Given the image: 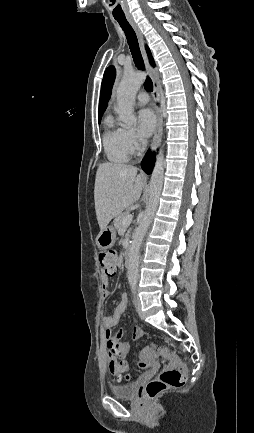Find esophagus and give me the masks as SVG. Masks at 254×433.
<instances>
[{"label": "esophagus", "instance_id": "1", "mask_svg": "<svg viewBox=\"0 0 254 433\" xmlns=\"http://www.w3.org/2000/svg\"><path fill=\"white\" fill-rule=\"evenodd\" d=\"M128 21L131 24V26L133 27L134 31L136 32L146 68H147L148 72L150 73V76H151L152 81H153L154 99L156 102V114H157V126H156L155 134H154V137L152 140V144H151V150L154 151V150H156V148L159 146V144L161 142L162 122H163L162 109L160 107L158 71L156 68H153L149 63V60H148V57H147V54L145 51V47H144V36H143L139 26L137 25V23L132 18H128Z\"/></svg>", "mask_w": 254, "mask_h": 433}]
</instances>
